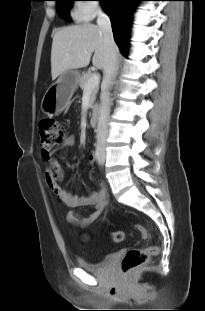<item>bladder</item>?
I'll return each instance as SVG.
<instances>
[{
    "label": "bladder",
    "instance_id": "obj_1",
    "mask_svg": "<svg viewBox=\"0 0 205 311\" xmlns=\"http://www.w3.org/2000/svg\"><path fill=\"white\" fill-rule=\"evenodd\" d=\"M114 258L113 254L106 255L100 262H88L83 257L77 259L80 268L91 272H103L106 266Z\"/></svg>",
    "mask_w": 205,
    "mask_h": 311
}]
</instances>
